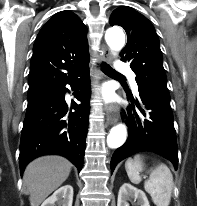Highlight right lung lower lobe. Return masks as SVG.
<instances>
[{
    "mask_svg": "<svg viewBox=\"0 0 197 206\" xmlns=\"http://www.w3.org/2000/svg\"><path fill=\"white\" fill-rule=\"evenodd\" d=\"M89 75L88 66L76 77L68 81L72 89L78 88L76 98L81 104H73L75 112L68 114L65 101V85L53 95L27 107L20 142V171L34 158L57 154L68 158L80 171L84 161L85 139L89 119V90L86 89L85 76Z\"/></svg>",
    "mask_w": 197,
    "mask_h": 206,
    "instance_id": "obj_1",
    "label": "right lung lower lobe"
}]
</instances>
